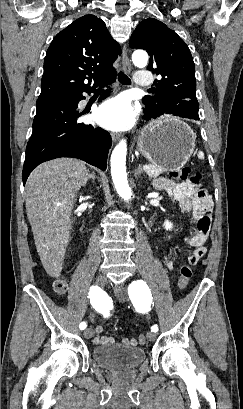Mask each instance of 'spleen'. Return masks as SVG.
<instances>
[{
    "mask_svg": "<svg viewBox=\"0 0 243 409\" xmlns=\"http://www.w3.org/2000/svg\"><path fill=\"white\" fill-rule=\"evenodd\" d=\"M198 158L203 160L204 159V153L202 151H199L197 154Z\"/></svg>",
    "mask_w": 243,
    "mask_h": 409,
    "instance_id": "1",
    "label": "spleen"
}]
</instances>
